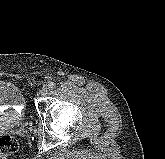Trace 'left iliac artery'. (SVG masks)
I'll return each instance as SVG.
<instances>
[{
  "label": "left iliac artery",
  "instance_id": "1",
  "mask_svg": "<svg viewBox=\"0 0 165 159\" xmlns=\"http://www.w3.org/2000/svg\"><path fill=\"white\" fill-rule=\"evenodd\" d=\"M49 87H50L51 89L55 88V87H56V83H55V82H50V83H49Z\"/></svg>",
  "mask_w": 165,
  "mask_h": 159
}]
</instances>
